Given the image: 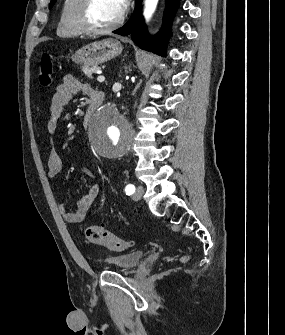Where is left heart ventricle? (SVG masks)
<instances>
[{
  "label": "left heart ventricle",
  "mask_w": 285,
  "mask_h": 335,
  "mask_svg": "<svg viewBox=\"0 0 285 335\" xmlns=\"http://www.w3.org/2000/svg\"><path fill=\"white\" fill-rule=\"evenodd\" d=\"M122 1H93L90 21L93 26L103 28L111 25L119 16Z\"/></svg>",
  "instance_id": "b2bd125f"
}]
</instances>
